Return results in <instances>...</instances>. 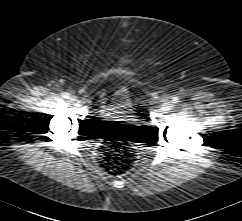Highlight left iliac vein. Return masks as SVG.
<instances>
[{
	"instance_id": "left-iliac-vein-1",
	"label": "left iliac vein",
	"mask_w": 242,
	"mask_h": 221,
	"mask_svg": "<svg viewBox=\"0 0 242 221\" xmlns=\"http://www.w3.org/2000/svg\"><path fill=\"white\" fill-rule=\"evenodd\" d=\"M169 105H170V104H169V103H167L165 106H166V107H170Z\"/></svg>"
}]
</instances>
